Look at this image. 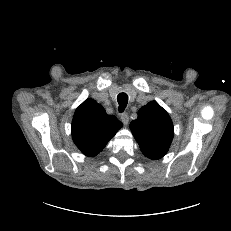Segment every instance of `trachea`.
<instances>
[{
	"mask_svg": "<svg viewBox=\"0 0 231 231\" xmlns=\"http://www.w3.org/2000/svg\"><path fill=\"white\" fill-rule=\"evenodd\" d=\"M117 101L119 104L118 110L120 113H122L125 109V107L127 106L128 103V95L126 93H120L117 96Z\"/></svg>",
	"mask_w": 231,
	"mask_h": 231,
	"instance_id": "trachea-1",
	"label": "trachea"
}]
</instances>
